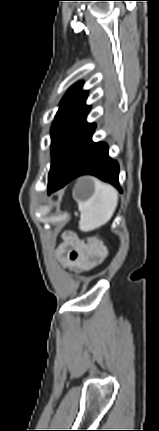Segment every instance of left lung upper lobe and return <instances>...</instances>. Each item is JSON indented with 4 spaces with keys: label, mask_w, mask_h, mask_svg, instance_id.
Instances as JSON below:
<instances>
[{
    "label": "left lung upper lobe",
    "mask_w": 159,
    "mask_h": 431,
    "mask_svg": "<svg viewBox=\"0 0 159 431\" xmlns=\"http://www.w3.org/2000/svg\"><path fill=\"white\" fill-rule=\"evenodd\" d=\"M82 86L83 83L79 82L67 91L52 124V162L48 185L59 173L64 158L78 135L92 125L85 120L90 107L85 104L88 92L83 91Z\"/></svg>",
    "instance_id": "obj_1"
}]
</instances>
